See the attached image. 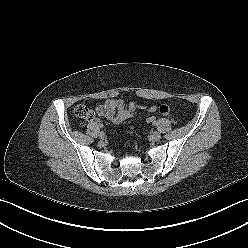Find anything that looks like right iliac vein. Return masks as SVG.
<instances>
[{
	"label": "right iliac vein",
	"instance_id": "right-iliac-vein-1",
	"mask_svg": "<svg viewBox=\"0 0 248 248\" xmlns=\"http://www.w3.org/2000/svg\"><path fill=\"white\" fill-rule=\"evenodd\" d=\"M99 138L102 139V140L105 139V134H104V132L101 131V132L99 133Z\"/></svg>",
	"mask_w": 248,
	"mask_h": 248
}]
</instances>
